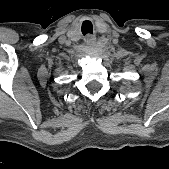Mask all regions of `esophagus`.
Masks as SVG:
<instances>
[{
    "instance_id": "1",
    "label": "esophagus",
    "mask_w": 169,
    "mask_h": 169,
    "mask_svg": "<svg viewBox=\"0 0 169 169\" xmlns=\"http://www.w3.org/2000/svg\"><path fill=\"white\" fill-rule=\"evenodd\" d=\"M86 43L89 45V44H92L95 42V37L93 35H87L86 39H85Z\"/></svg>"
}]
</instances>
